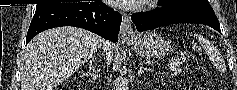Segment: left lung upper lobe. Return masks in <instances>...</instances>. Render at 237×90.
<instances>
[{"label":"left lung upper lobe","instance_id":"obj_1","mask_svg":"<svg viewBox=\"0 0 237 90\" xmlns=\"http://www.w3.org/2000/svg\"><path fill=\"white\" fill-rule=\"evenodd\" d=\"M163 7H183L213 11L207 0H161Z\"/></svg>","mask_w":237,"mask_h":90}]
</instances>
